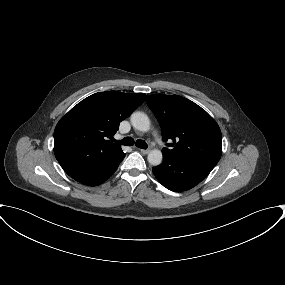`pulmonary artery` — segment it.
I'll return each instance as SVG.
<instances>
[{
	"label": "pulmonary artery",
	"mask_w": 285,
	"mask_h": 285,
	"mask_svg": "<svg viewBox=\"0 0 285 285\" xmlns=\"http://www.w3.org/2000/svg\"><path fill=\"white\" fill-rule=\"evenodd\" d=\"M154 136H155L156 140H157L159 143H161V139H160L159 135H158L156 132L154 133Z\"/></svg>",
	"instance_id": "1"
}]
</instances>
